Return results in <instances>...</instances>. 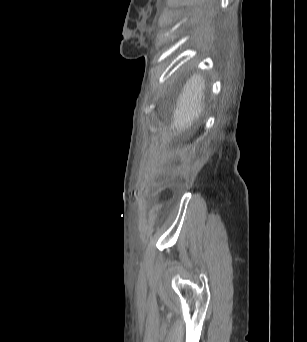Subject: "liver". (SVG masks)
<instances>
[{"mask_svg": "<svg viewBox=\"0 0 307 342\" xmlns=\"http://www.w3.org/2000/svg\"><path fill=\"white\" fill-rule=\"evenodd\" d=\"M205 88V80L200 74H193L184 84L173 110L172 124L169 128L173 136H179L200 118L204 108Z\"/></svg>", "mask_w": 307, "mask_h": 342, "instance_id": "obj_1", "label": "liver"}]
</instances>
